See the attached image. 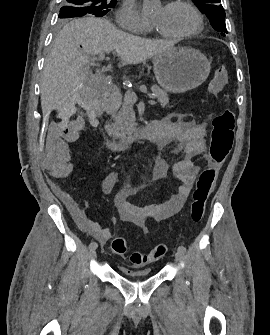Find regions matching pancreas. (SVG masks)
<instances>
[{
  "label": "pancreas",
  "mask_w": 270,
  "mask_h": 335,
  "mask_svg": "<svg viewBox=\"0 0 270 335\" xmlns=\"http://www.w3.org/2000/svg\"><path fill=\"white\" fill-rule=\"evenodd\" d=\"M151 92L156 94L155 98H157V102H160L162 108H165V106L169 104L168 94L165 90H161L159 86H151ZM133 124H135V116L132 108H123V110L117 114L115 122L112 124L108 134L112 136L113 140L125 138L126 134H131Z\"/></svg>",
  "instance_id": "obj_1"
}]
</instances>
